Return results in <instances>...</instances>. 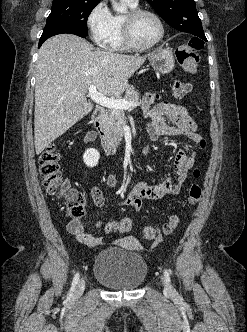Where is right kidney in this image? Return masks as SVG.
<instances>
[{
	"mask_svg": "<svg viewBox=\"0 0 247 332\" xmlns=\"http://www.w3.org/2000/svg\"><path fill=\"white\" fill-rule=\"evenodd\" d=\"M99 159H100L99 152L93 148L87 149L83 155L84 163L90 168L96 166L98 164Z\"/></svg>",
	"mask_w": 247,
	"mask_h": 332,
	"instance_id": "ca27d5eb",
	"label": "right kidney"
}]
</instances>
